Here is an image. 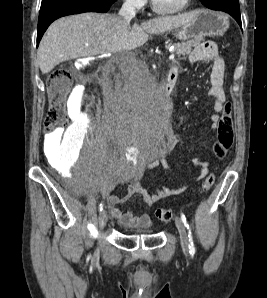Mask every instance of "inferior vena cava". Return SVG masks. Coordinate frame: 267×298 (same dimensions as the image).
Segmentation results:
<instances>
[{"label":"inferior vena cava","mask_w":267,"mask_h":298,"mask_svg":"<svg viewBox=\"0 0 267 298\" xmlns=\"http://www.w3.org/2000/svg\"><path fill=\"white\" fill-rule=\"evenodd\" d=\"M119 14L122 17L124 23L129 25L131 19H133L136 14L134 0H125ZM132 50L133 48L122 50L118 52L116 56L117 61L120 64V68L123 74L126 76L133 71L136 64L135 54Z\"/></svg>","instance_id":"1"}]
</instances>
